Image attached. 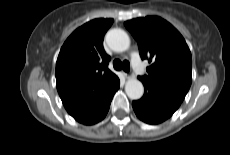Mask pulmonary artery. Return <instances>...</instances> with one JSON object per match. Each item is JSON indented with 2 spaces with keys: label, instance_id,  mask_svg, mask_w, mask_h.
<instances>
[{
  "label": "pulmonary artery",
  "instance_id": "pulmonary-artery-1",
  "mask_svg": "<svg viewBox=\"0 0 230 155\" xmlns=\"http://www.w3.org/2000/svg\"><path fill=\"white\" fill-rule=\"evenodd\" d=\"M131 64L135 72H137L140 75H145L146 70L143 66V63L141 61V58L137 52H134L131 56Z\"/></svg>",
  "mask_w": 230,
  "mask_h": 155
}]
</instances>
